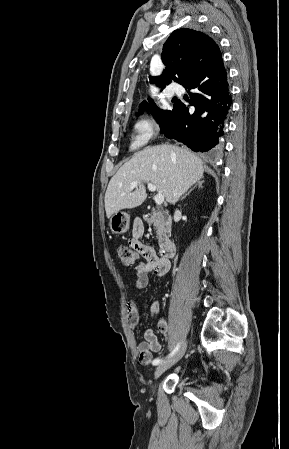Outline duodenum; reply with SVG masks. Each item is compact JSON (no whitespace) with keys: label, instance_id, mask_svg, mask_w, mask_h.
Listing matches in <instances>:
<instances>
[{"label":"duodenum","instance_id":"obj_1","mask_svg":"<svg viewBox=\"0 0 289 449\" xmlns=\"http://www.w3.org/2000/svg\"><path fill=\"white\" fill-rule=\"evenodd\" d=\"M160 256L164 259L171 258L175 253V244L172 241H165L160 245Z\"/></svg>","mask_w":289,"mask_h":449}]
</instances>
